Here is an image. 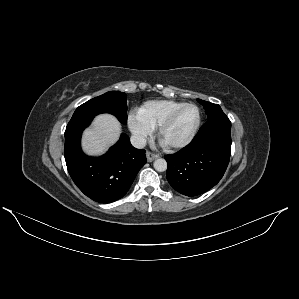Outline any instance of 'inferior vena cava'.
Segmentation results:
<instances>
[{
  "mask_svg": "<svg viewBox=\"0 0 299 299\" xmlns=\"http://www.w3.org/2000/svg\"><path fill=\"white\" fill-rule=\"evenodd\" d=\"M131 144L138 149L146 146V139L141 135H132L130 138Z\"/></svg>",
  "mask_w": 299,
  "mask_h": 299,
  "instance_id": "inferior-vena-cava-1",
  "label": "inferior vena cava"
}]
</instances>
